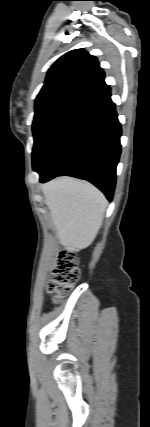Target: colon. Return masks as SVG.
Masks as SVG:
<instances>
[{
    "instance_id": "colon-1",
    "label": "colon",
    "mask_w": 150,
    "mask_h": 427,
    "mask_svg": "<svg viewBox=\"0 0 150 427\" xmlns=\"http://www.w3.org/2000/svg\"><path fill=\"white\" fill-rule=\"evenodd\" d=\"M80 269L77 256L72 252H62L54 274L48 283V290L53 295L55 302L65 297L78 282Z\"/></svg>"
}]
</instances>
